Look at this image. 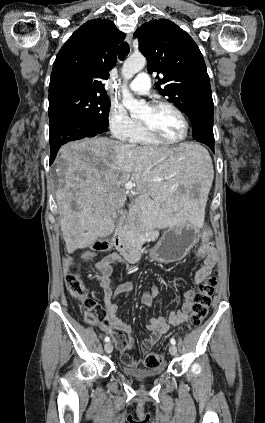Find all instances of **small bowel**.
<instances>
[{"instance_id": "c3829d8e", "label": "small bowel", "mask_w": 265, "mask_h": 423, "mask_svg": "<svg viewBox=\"0 0 265 423\" xmlns=\"http://www.w3.org/2000/svg\"><path fill=\"white\" fill-rule=\"evenodd\" d=\"M198 258L203 259V264L194 274V283L201 285L202 282L211 274L212 269L217 263V253L212 246L208 244L201 246L196 253ZM122 264L128 271H131L130 265L123 261L118 254L112 253L105 256L97 263L98 275L97 279L104 293L105 309L107 312L106 321L102 324V329L105 333L111 334L114 342L121 354V360L124 365L128 367H139L142 360H135L128 355V350L133 344L130 336L131 329L119 315V305L116 298L123 293L132 291L133 285L130 282L120 284L116 288L113 287V282L110 278L113 269L116 265ZM160 289L156 285H152L142 296V303L149 306L159 296ZM196 291L189 289L184 292V303L180 310L168 313V317L154 316L149 318L146 329L148 335L142 340L140 348L143 353H148L159 338L165 334L171 325L177 326L186 322L190 316Z\"/></svg>"}]
</instances>
